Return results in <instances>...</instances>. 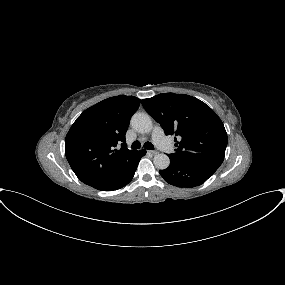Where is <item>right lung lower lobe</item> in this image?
<instances>
[{"instance_id":"1","label":"right lung lower lobe","mask_w":285,"mask_h":285,"mask_svg":"<svg viewBox=\"0 0 285 285\" xmlns=\"http://www.w3.org/2000/svg\"><path fill=\"white\" fill-rule=\"evenodd\" d=\"M145 154H146L145 150L138 151L135 162L132 164L130 169L124 175L112 181L97 185L94 188L101 190V191H113V190H117L127 185L132 180L134 173L136 171V168L138 166V163Z\"/></svg>"}]
</instances>
